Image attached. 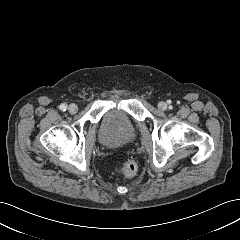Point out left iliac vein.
<instances>
[{"label":"left iliac vein","mask_w":240,"mask_h":240,"mask_svg":"<svg viewBox=\"0 0 240 240\" xmlns=\"http://www.w3.org/2000/svg\"><path fill=\"white\" fill-rule=\"evenodd\" d=\"M158 108L160 110H166L167 109V104L165 102H159L158 103Z\"/></svg>","instance_id":"1"}]
</instances>
